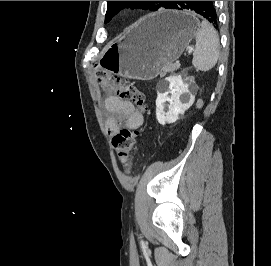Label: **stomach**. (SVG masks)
Masks as SVG:
<instances>
[{
  "mask_svg": "<svg viewBox=\"0 0 271 266\" xmlns=\"http://www.w3.org/2000/svg\"><path fill=\"white\" fill-rule=\"evenodd\" d=\"M198 25L188 11L162 10L148 15L110 43L99 63L125 78L153 79L181 56Z\"/></svg>",
  "mask_w": 271,
  "mask_h": 266,
  "instance_id": "obj_1",
  "label": "stomach"
}]
</instances>
